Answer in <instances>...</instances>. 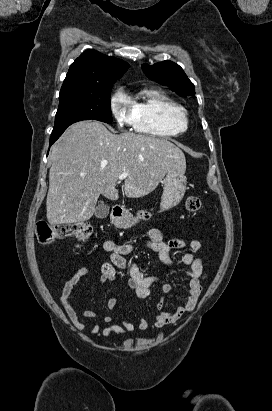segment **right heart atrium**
Segmentation results:
<instances>
[{"label":"right heart atrium","mask_w":272,"mask_h":411,"mask_svg":"<svg viewBox=\"0 0 272 411\" xmlns=\"http://www.w3.org/2000/svg\"><path fill=\"white\" fill-rule=\"evenodd\" d=\"M110 112L118 127L133 124L132 105L121 88L116 90L110 99Z\"/></svg>","instance_id":"1"}]
</instances>
